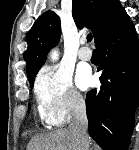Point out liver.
Returning <instances> with one entry per match:
<instances>
[{
	"label": "liver",
	"instance_id": "6515ba94",
	"mask_svg": "<svg viewBox=\"0 0 139 150\" xmlns=\"http://www.w3.org/2000/svg\"><path fill=\"white\" fill-rule=\"evenodd\" d=\"M77 148L70 129L60 128L48 134L34 136L27 150H77Z\"/></svg>",
	"mask_w": 139,
	"mask_h": 150
}]
</instances>
